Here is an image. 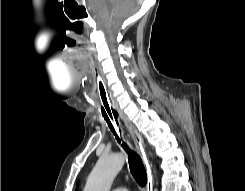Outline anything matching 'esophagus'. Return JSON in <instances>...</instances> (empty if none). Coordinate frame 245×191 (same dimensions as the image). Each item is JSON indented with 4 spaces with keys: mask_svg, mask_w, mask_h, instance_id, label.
Instances as JSON below:
<instances>
[{
    "mask_svg": "<svg viewBox=\"0 0 245 191\" xmlns=\"http://www.w3.org/2000/svg\"><path fill=\"white\" fill-rule=\"evenodd\" d=\"M120 116L122 120L125 123V126L133 139V142L135 144L136 149L138 150L141 159L143 161V164L146 169L147 173V183H146V191H152L153 188V175H152V165L149 161V158L146 153V145L145 142L140 135V133L137 131V129L131 124V122L123 115V113L120 112Z\"/></svg>",
    "mask_w": 245,
    "mask_h": 191,
    "instance_id": "34e87169",
    "label": "esophagus"
}]
</instances>
